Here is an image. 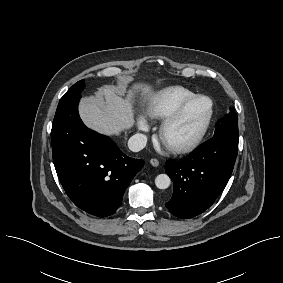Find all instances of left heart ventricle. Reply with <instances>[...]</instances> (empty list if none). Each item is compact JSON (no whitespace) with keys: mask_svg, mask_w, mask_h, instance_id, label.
<instances>
[{"mask_svg":"<svg viewBox=\"0 0 283 283\" xmlns=\"http://www.w3.org/2000/svg\"><path fill=\"white\" fill-rule=\"evenodd\" d=\"M209 110V100L200 99L194 102L167 134V144H177L193 138L202 128Z\"/></svg>","mask_w":283,"mask_h":283,"instance_id":"1","label":"left heart ventricle"}]
</instances>
